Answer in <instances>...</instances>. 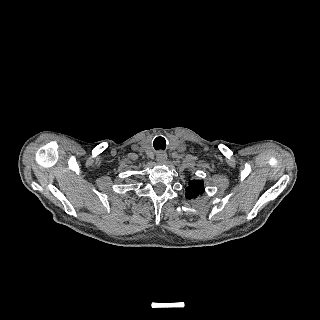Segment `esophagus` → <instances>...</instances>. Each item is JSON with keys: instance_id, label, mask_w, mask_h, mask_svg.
<instances>
[{"instance_id": "obj_1", "label": "esophagus", "mask_w": 320, "mask_h": 320, "mask_svg": "<svg viewBox=\"0 0 320 320\" xmlns=\"http://www.w3.org/2000/svg\"><path fill=\"white\" fill-rule=\"evenodd\" d=\"M156 159L159 163H163L167 160V154L164 151H159L156 155Z\"/></svg>"}]
</instances>
